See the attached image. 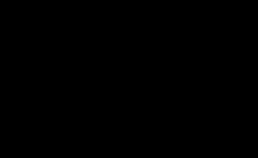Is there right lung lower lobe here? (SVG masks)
I'll return each instance as SVG.
<instances>
[{
    "label": "right lung lower lobe",
    "mask_w": 258,
    "mask_h": 158,
    "mask_svg": "<svg viewBox=\"0 0 258 158\" xmlns=\"http://www.w3.org/2000/svg\"><path fill=\"white\" fill-rule=\"evenodd\" d=\"M42 98L53 118L75 133L103 129L115 105L129 97L128 86L105 74V68L86 57L47 60L42 69Z\"/></svg>",
    "instance_id": "1"
}]
</instances>
